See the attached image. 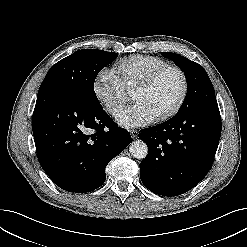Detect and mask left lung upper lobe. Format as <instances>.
Segmentation results:
<instances>
[{
    "mask_svg": "<svg viewBox=\"0 0 247 247\" xmlns=\"http://www.w3.org/2000/svg\"><path fill=\"white\" fill-rule=\"evenodd\" d=\"M161 54L180 67L187 80V94L176 115L191 108L217 104L213 85L203 67L179 54L169 52Z\"/></svg>",
    "mask_w": 247,
    "mask_h": 247,
    "instance_id": "left-lung-upper-lobe-1",
    "label": "left lung upper lobe"
}]
</instances>
